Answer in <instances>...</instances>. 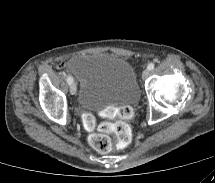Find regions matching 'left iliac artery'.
I'll return each instance as SVG.
<instances>
[{"label": "left iliac artery", "instance_id": "left-iliac-artery-1", "mask_svg": "<svg viewBox=\"0 0 215 183\" xmlns=\"http://www.w3.org/2000/svg\"><path fill=\"white\" fill-rule=\"evenodd\" d=\"M154 67H155V64L154 63H150L147 68H148V70H153Z\"/></svg>", "mask_w": 215, "mask_h": 183}]
</instances>
